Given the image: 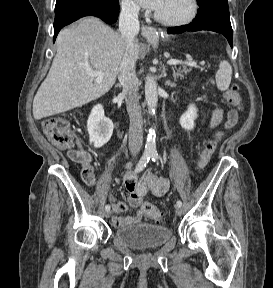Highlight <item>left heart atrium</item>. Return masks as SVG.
Masks as SVG:
<instances>
[{"mask_svg":"<svg viewBox=\"0 0 273 288\" xmlns=\"http://www.w3.org/2000/svg\"><path fill=\"white\" fill-rule=\"evenodd\" d=\"M162 0H138V2L145 8L157 10Z\"/></svg>","mask_w":273,"mask_h":288,"instance_id":"left-heart-atrium-1","label":"left heart atrium"}]
</instances>
